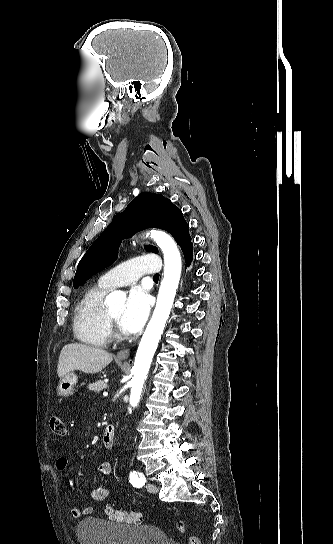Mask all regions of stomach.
<instances>
[{
    "instance_id": "0dacf381",
    "label": "stomach",
    "mask_w": 333,
    "mask_h": 544,
    "mask_svg": "<svg viewBox=\"0 0 333 544\" xmlns=\"http://www.w3.org/2000/svg\"><path fill=\"white\" fill-rule=\"evenodd\" d=\"M78 378L77 376L69 372L65 374L59 381L57 386V392L60 396L68 397L74 394L77 386Z\"/></svg>"
}]
</instances>
